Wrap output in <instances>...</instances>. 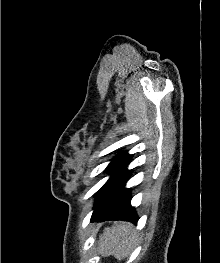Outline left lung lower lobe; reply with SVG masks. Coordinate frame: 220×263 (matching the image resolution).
Segmentation results:
<instances>
[{"instance_id":"left-lung-lower-lobe-1","label":"left lung lower lobe","mask_w":220,"mask_h":263,"mask_svg":"<svg viewBox=\"0 0 220 263\" xmlns=\"http://www.w3.org/2000/svg\"><path fill=\"white\" fill-rule=\"evenodd\" d=\"M129 175L130 172L95 204L91 222L124 220L137 223V214L130 205L129 189H124Z\"/></svg>"}]
</instances>
